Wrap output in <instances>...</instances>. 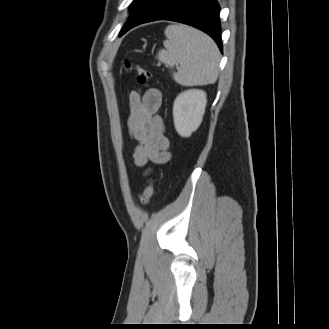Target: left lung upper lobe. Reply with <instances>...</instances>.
I'll return each instance as SVG.
<instances>
[{"instance_id": "left-lung-upper-lobe-1", "label": "left lung upper lobe", "mask_w": 329, "mask_h": 329, "mask_svg": "<svg viewBox=\"0 0 329 329\" xmlns=\"http://www.w3.org/2000/svg\"><path fill=\"white\" fill-rule=\"evenodd\" d=\"M146 0H134L130 5V11L131 13L137 9L142 3H144ZM131 15V14H130Z\"/></svg>"}]
</instances>
